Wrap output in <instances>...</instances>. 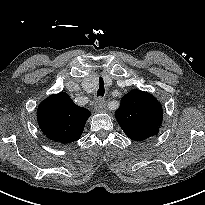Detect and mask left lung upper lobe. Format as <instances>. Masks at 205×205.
I'll use <instances>...</instances> for the list:
<instances>
[{
	"label": "left lung upper lobe",
	"mask_w": 205,
	"mask_h": 205,
	"mask_svg": "<svg viewBox=\"0 0 205 205\" xmlns=\"http://www.w3.org/2000/svg\"><path fill=\"white\" fill-rule=\"evenodd\" d=\"M115 116L130 139L143 141L158 133L163 110L153 95L134 89L123 96Z\"/></svg>",
	"instance_id": "obj_1"
}]
</instances>
